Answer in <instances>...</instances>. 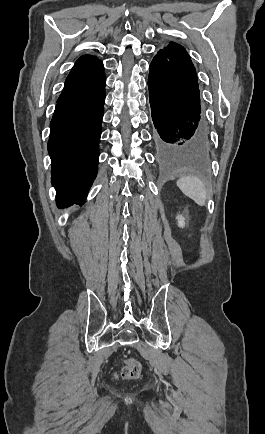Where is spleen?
Returning a JSON list of instances; mask_svg holds the SVG:
<instances>
[{
	"label": "spleen",
	"mask_w": 265,
	"mask_h": 434,
	"mask_svg": "<svg viewBox=\"0 0 265 434\" xmlns=\"http://www.w3.org/2000/svg\"><path fill=\"white\" fill-rule=\"evenodd\" d=\"M177 186L185 196L194 200L198 206H205L206 188L199 178H195V176H184V178L177 180Z\"/></svg>",
	"instance_id": "3e777b00"
}]
</instances>
